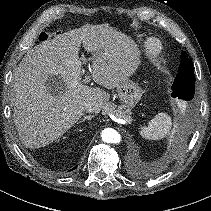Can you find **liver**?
<instances>
[{
    "mask_svg": "<svg viewBox=\"0 0 211 211\" xmlns=\"http://www.w3.org/2000/svg\"><path fill=\"white\" fill-rule=\"evenodd\" d=\"M92 53L91 77L106 89L128 79L138 64V50L126 34L104 25H84L46 40L24 56L13 78L14 123L28 148L44 147L68 131L83 115L86 103L95 113L107 105L109 94L83 85L79 50ZM60 76L59 95L46 87L48 78Z\"/></svg>",
    "mask_w": 211,
    "mask_h": 211,
    "instance_id": "1",
    "label": "liver"
}]
</instances>
